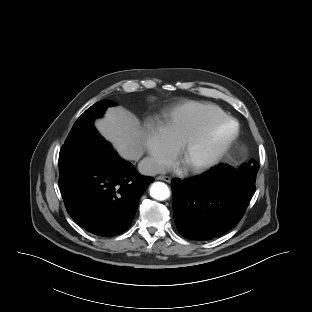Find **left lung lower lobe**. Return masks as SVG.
Masks as SVG:
<instances>
[{
    "label": "left lung lower lobe",
    "instance_id": "0a47b994",
    "mask_svg": "<svg viewBox=\"0 0 312 312\" xmlns=\"http://www.w3.org/2000/svg\"><path fill=\"white\" fill-rule=\"evenodd\" d=\"M171 186L177 229L191 240L226 233L241 220L255 192V182L225 164L190 179H174Z\"/></svg>",
    "mask_w": 312,
    "mask_h": 312
}]
</instances>
